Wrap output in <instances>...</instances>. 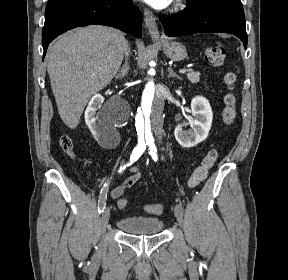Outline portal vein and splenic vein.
<instances>
[{
  "instance_id": "portal-vein-and-splenic-vein-1",
  "label": "portal vein and splenic vein",
  "mask_w": 288,
  "mask_h": 280,
  "mask_svg": "<svg viewBox=\"0 0 288 280\" xmlns=\"http://www.w3.org/2000/svg\"><path fill=\"white\" fill-rule=\"evenodd\" d=\"M180 73H186V69H181L180 71H179Z\"/></svg>"
}]
</instances>
